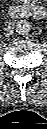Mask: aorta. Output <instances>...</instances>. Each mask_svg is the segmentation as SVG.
Wrapping results in <instances>:
<instances>
[{"label":"aorta","instance_id":"aorta-1","mask_svg":"<svg viewBox=\"0 0 47 129\" xmlns=\"http://www.w3.org/2000/svg\"><path fill=\"white\" fill-rule=\"evenodd\" d=\"M15 30L19 35H26L31 30V24L26 20H20L17 22Z\"/></svg>","mask_w":47,"mask_h":129}]
</instances>
